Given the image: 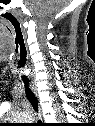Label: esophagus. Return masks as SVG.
Segmentation results:
<instances>
[{"label":"esophagus","instance_id":"esophagus-1","mask_svg":"<svg viewBox=\"0 0 95 126\" xmlns=\"http://www.w3.org/2000/svg\"><path fill=\"white\" fill-rule=\"evenodd\" d=\"M33 91H34V94L38 96L37 90L35 88H33ZM39 117H40V120L43 121V113L40 106H39Z\"/></svg>","mask_w":95,"mask_h":126}]
</instances>
